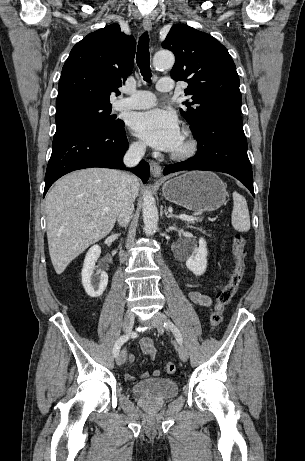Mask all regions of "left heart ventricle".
Wrapping results in <instances>:
<instances>
[{"label": "left heart ventricle", "mask_w": 305, "mask_h": 461, "mask_svg": "<svg viewBox=\"0 0 305 461\" xmlns=\"http://www.w3.org/2000/svg\"><path fill=\"white\" fill-rule=\"evenodd\" d=\"M182 146H183V140L181 141V143L179 144V146L175 150H179L180 148H182Z\"/></svg>", "instance_id": "b2bd125f"}]
</instances>
